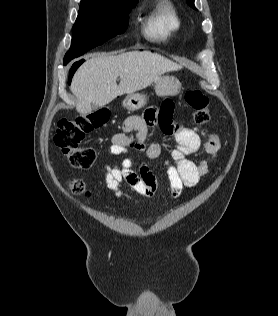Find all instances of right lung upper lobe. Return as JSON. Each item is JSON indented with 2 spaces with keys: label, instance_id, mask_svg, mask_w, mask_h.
I'll return each instance as SVG.
<instances>
[{
  "label": "right lung upper lobe",
  "instance_id": "cb5924a9",
  "mask_svg": "<svg viewBox=\"0 0 278 316\" xmlns=\"http://www.w3.org/2000/svg\"><path fill=\"white\" fill-rule=\"evenodd\" d=\"M136 0H81V3L114 4L118 2H132Z\"/></svg>",
  "mask_w": 278,
  "mask_h": 316
}]
</instances>
